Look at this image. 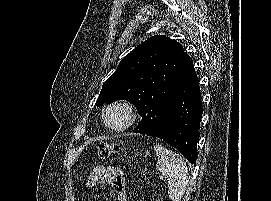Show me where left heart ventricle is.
Returning <instances> with one entry per match:
<instances>
[{
    "mask_svg": "<svg viewBox=\"0 0 271 201\" xmlns=\"http://www.w3.org/2000/svg\"><path fill=\"white\" fill-rule=\"evenodd\" d=\"M126 114L121 109H113L107 114V121L112 126H120L126 121Z\"/></svg>",
    "mask_w": 271,
    "mask_h": 201,
    "instance_id": "1",
    "label": "left heart ventricle"
}]
</instances>
